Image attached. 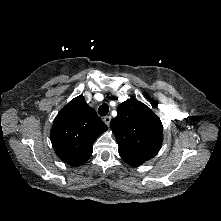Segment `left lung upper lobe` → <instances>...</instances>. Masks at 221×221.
<instances>
[{"label": "left lung upper lobe", "instance_id": "left-lung-upper-lobe-1", "mask_svg": "<svg viewBox=\"0 0 221 221\" xmlns=\"http://www.w3.org/2000/svg\"><path fill=\"white\" fill-rule=\"evenodd\" d=\"M117 112L110 126L116 135L119 155L130 166H139L160 150L162 123L148 106L135 98L121 103Z\"/></svg>", "mask_w": 221, "mask_h": 221}]
</instances>
